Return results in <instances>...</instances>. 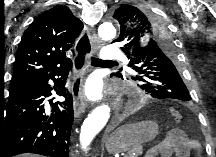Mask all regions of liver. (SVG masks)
<instances>
[{
    "label": "liver",
    "instance_id": "6515ba94",
    "mask_svg": "<svg viewBox=\"0 0 216 157\" xmlns=\"http://www.w3.org/2000/svg\"><path fill=\"white\" fill-rule=\"evenodd\" d=\"M23 157H37L35 154H24Z\"/></svg>",
    "mask_w": 216,
    "mask_h": 157
}]
</instances>
